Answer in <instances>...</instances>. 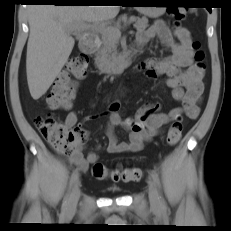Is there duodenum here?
Instances as JSON below:
<instances>
[{
  "instance_id": "1",
  "label": "duodenum",
  "mask_w": 231,
  "mask_h": 231,
  "mask_svg": "<svg viewBox=\"0 0 231 231\" xmlns=\"http://www.w3.org/2000/svg\"><path fill=\"white\" fill-rule=\"evenodd\" d=\"M99 46V40L96 35L88 34L81 42L80 48L86 54L93 53ZM133 55L128 53L123 59H121L117 66L113 68L114 71H119L125 66H128L132 61Z\"/></svg>"
}]
</instances>
